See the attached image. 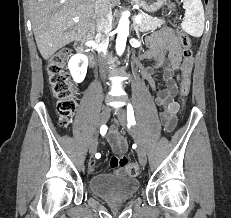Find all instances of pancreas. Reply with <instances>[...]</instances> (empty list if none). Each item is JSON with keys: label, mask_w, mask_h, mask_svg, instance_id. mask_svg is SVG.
<instances>
[{"label": "pancreas", "mask_w": 231, "mask_h": 218, "mask_svg": "<svg viewBox=\"0 0 231 218\" xmlns=\"http://www.w3.org/2000/svg\"><path fill=\"white\" fill-rule=\"evenodd\" d=\"M142 19L141 22L138 24V28L142 32H148L150 30H155L157 28H160L165 22L160 19L153 18L145 13L139 14Z\"/></svg>", "instance_id": "obj_1"}]
</instances>
